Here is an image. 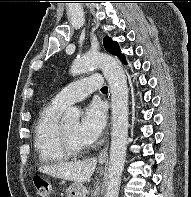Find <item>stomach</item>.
Here are the masks:
<instances>
[{"label": "stomach", "mask_w": 191, "mask_h": 197, "mask_svg": "<svg viewBox=\"0 0 191 197\" xmlns=\"http://www.w3.org/2000/svg\"><path fill=\"white\" fill-rule=\"evenodd\" d=\"M103 163V161H100ZM67 197H86V188L82 183L73 182L66 190Z\"/></svg>", "instance_id": "0dacf381"}]
</instances>
